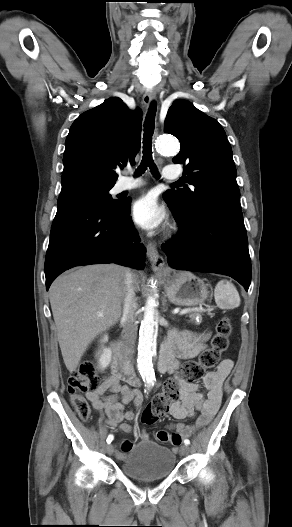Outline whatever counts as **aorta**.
Returning a JSON list of instances; mask_svg holds the SVG:
<instances>
[{"label": "aorta", "instance_id": "762f6f07", "mask_svg": "<svg viewBox=\"0 0 292 527\" xmlns=\"http://www.w3.org/2000/svg\"><path fill=\"white\" fill-rule=\"evenodd\" d=\"M156 148L163 154H176L179 151V143L172 136H161L156 140ZM157 334L155 298L149 296L139 331L137 358V368L147 384H153L155 381L153 360L156 356Z\"/></svg>", "mask_w": 292, "mask_h": 527}]
</instances>
